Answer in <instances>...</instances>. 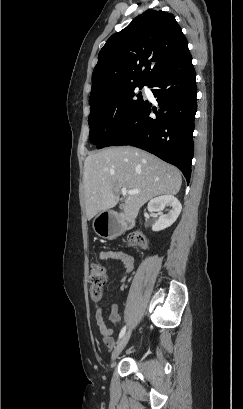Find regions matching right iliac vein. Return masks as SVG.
Returning <instances> with one entry per match:
<instances>
[{
  "label": "right iliac vein",
  "instance_id": "63e3f726",
  "mask_svg": "<svg viewBox=\"0 0 243 409\" xmlns=\"http://www.w3.org/2000/svg\"><path fill=\"white\" fill-rule=\"evenodd\" d=\"M130 336H131V330L126 332L124 336L121 338V340L119 341V343L117 344L116 348L114 349L112 353L111 361H115L118 358L119 354L122 352V350L127 345Z\"/></svg>",
  "mask_w": 243,
  "mask_h": 409
}]
</instances>
